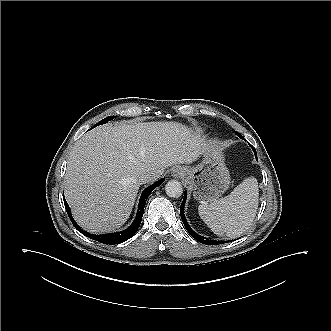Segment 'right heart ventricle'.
Wrapping results in <instances>:
<instances>
[{"mask_svg":"<svg viewBox=\"0 0 331 331\" xmlns=\"http://www.w3.org/2000/svg\"><path fill=\"white\" fill-rule=\"evenodd\" d=\"M197 131H198V133H201V132H202V130H201V129H198Z\"/></svg>","mask_w":331,"mask_h":331,"instance_id":"e07e8e85","label":"right heart ventricle"}]
</instances>
